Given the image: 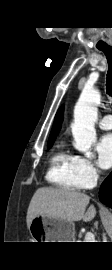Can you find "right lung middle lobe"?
Wrapping results in <instances>:
<instances>
[{
	"mask_svg": "<svg viewBox=\"0 0 112 270\" xmlns=\"http://www.w3.org/2000/svg\"><path fill=\"white\" fill-rule=\"evenodd\" d=\"M52 144H53V141L52 142H48V145H47L48 149L51 148Z\"/></svg>",
	"mask_w": 112,
	"mask_h": 270,
	"instance_id": "right-lung-middle-lobe-1",
	"label": "right lung middle lobe"
}]
</instances>
